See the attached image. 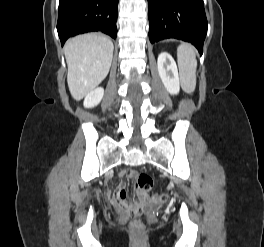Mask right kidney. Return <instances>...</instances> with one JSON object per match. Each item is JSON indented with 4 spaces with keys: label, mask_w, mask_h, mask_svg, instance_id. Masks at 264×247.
I'll list each match as a JSON object with an SVG mask.
<instances>
[{
    "label": "right kidney",
    "mask_w": 264,
    "mask_h": 247,
    "mask_svg": "<svg viewBox=\"0 0 264 247\" xmlns=\"http://www.w3.org/2000/svg\"><path fill=\"white\" fill-rule=\"evenodd\" d=\"M104 96V89L102 87H98L91 92H89L83 102L85 108H93L97 106Z\"/></svg>",
    "instance_id": "right-kidney-1"
}]
</instances>
